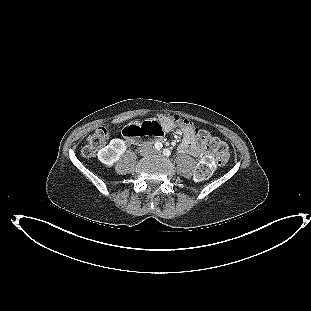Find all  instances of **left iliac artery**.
Instances as JSON below:
<instances>
[{
	"instance_id": "44dca946",
	"label": "left iliac artery",
	"mask_w": 311,
	"mask_h": 311,
	"mask_svg": "<svg viewBox=\"0 0 311 311\" xmlns=\"http://www.w3.org/2000/svg\"><path fill=\"white\" fill-rule=\"evenodd\" d=\"M163 154H164L165 156L169 157V156L171 155V152H170L169 149H164V150H163Z\"/></svg>"
}]
</instances>
